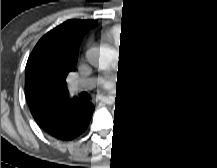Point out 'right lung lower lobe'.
Masks as SVG:
<instances>
[{"instance_id":"1","label":"right lung lower lobe","mask_w":217,"mask_h":168,"mask_svg":"<svg viewBox=\"0 0 217 168\" xmlns=\"http://www.w3.org/2000/svg\"><path fill=\"white\" fill-rule=\"evenodd\" d=\"M93 110L86 100H65L35 120L51 136L73 140L87 129Z\"/></svg>"}]
</instances>
